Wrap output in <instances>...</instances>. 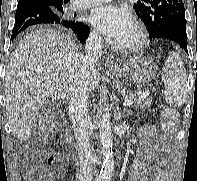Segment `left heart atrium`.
Listing matches in <instances>:
<instances>
[{
	"label": "left heart atrium",
	"mask_w": 197,
	"mask_h": 181,
	"mask_svg": "<svg viewBox=\"0 0 197 181\" xmlns=\"http://www.w3.org/2000/svg\"><path fill=\"white\" fill-rule=\"evenodd\" d=\"M90 21L106 38L120 43L134 28V19L129 10L114 4L95 9Z\"/></svg>",
	"instance_id": "39dd6f15"
}]
</instances>
